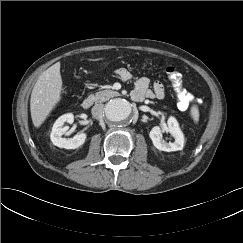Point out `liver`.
I'll return each instance as SVG.
<instances>
[{
    "instance_id": "obj_1",
    "label": "liver",
    "mask_w": 243,
    "mask_h": 243,
    "mask_svg": "<svg viewBox=\"0 0 243 243\" xmlns=\"http://www.w3.org/2000/svg\"><path fill=\"white\" fill-rule=\"evenodd\" d=\"M62 78L60 62L45 70L35 83L30 99L31 118L39 128L61 100Z\"/></svg>"
}]
</instances>
